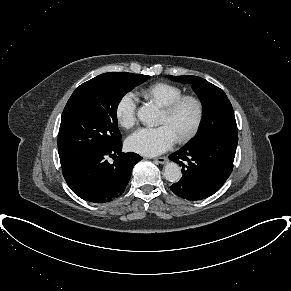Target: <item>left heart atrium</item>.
I'll list each match as a JSON object with an SVG mask.
<instances>
[{
	"mask_svg": "<svg viewBox=\"0 0 291 291\" xmlns=\"http://www.w3.org/2000/svg\"><path fill=\"white\" fill-rule=\"evenodd\" d=\"M177 138L167 125L141 128L127 139L130 150L146 156L160 154L174 145Z\"/></svg>",
	"mask_w": 291,
	"mask_h": 291,
	"instance_id": "obj_1",
	"label": "left heart atrium"
}]
</instances>
